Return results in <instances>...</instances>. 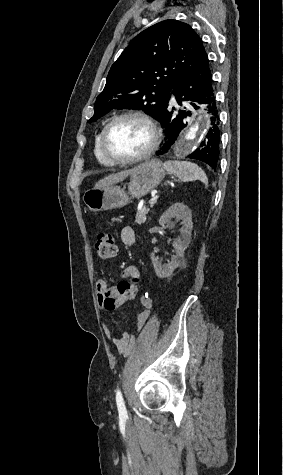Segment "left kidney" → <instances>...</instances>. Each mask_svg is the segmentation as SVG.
Masks as SVG:
<instances>
[{
    "instance_id": "5707ae66",
    "label": "left kidney",
    "mask_w": 283,
    "mask_h": 475,
    "mask_svg": "<svg viewBox=\"0 0 283 475\" xmlns=\"http://www.w3.org/2000/svg\"><path fill=\"white\" fill-rule=\"evenodd\" d=\"M172 218H176V220H182L181 224H183V226L180 230V236H178V238L174 239L173 241L175 255H172L171 261H168V263H161V261H159V257H156L154 251L151 253L152 263L158 277H169V275H172L174 269L180 265L185 253V249H187L191 241L193 224L191 210H189L188 206L179 204V202H177V204H173V206H170V208H168V210L162 214L159 220L160 226L170 224Z\"/></svg>"
}]
</instances>
